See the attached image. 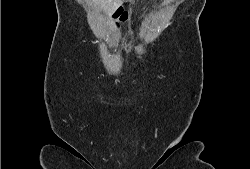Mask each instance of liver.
Here are the masks:
<instances>
[{
    "mask_svg": "<svg viewBox=\"0 0 250 169\" xmlns=\"http://www.w3.org/2000/svg\"><path fill=\"white\" fill-rule=\"evenodd\" d=\"M91 4H95V6H99L101 10H104L106 14L109 12H114L117 6L123 4V0H90Z\"/></svg>",
    "mask_w": 250,
    "mask_h": 169,
    "instance_id": "liver-1",
    "label": "liver"
}]
</instances>
